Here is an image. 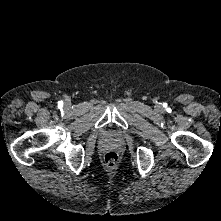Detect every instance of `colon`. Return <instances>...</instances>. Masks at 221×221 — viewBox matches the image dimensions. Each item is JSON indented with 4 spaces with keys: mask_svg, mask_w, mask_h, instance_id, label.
Returning a JSON list of instances; mask_svg holds the SVG:
<instances>
[{
    "mask_svg": "<svg viewBox=\"0 0 221 221\" xmlns=\"http://www.w3.org/2000/svg\"><path fill=\"white\" fill-rule=\"evenodd\" d=\"M104 166L107 170L112 171L117 167L118 156L114 152H107L103 159Z\"/></svg>",
    "mask_w": 221,
    "mask_h": 221,
    "instance_id": "obj_1",
    "label": "colon"
}]
</instances>
